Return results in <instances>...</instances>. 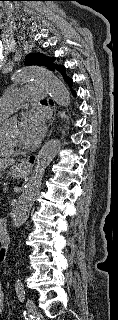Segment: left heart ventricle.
Instances as JSON below:
<instances>
[{
    "instance_id": "1",
    "label": "left heart ventricle",
    "mask_w": 118,
    "mask_h": 320,
    "mask_svg": "<svg viewBox=\"0 0 118 320\" xmlns=\"http://www.w3.org/2000/svg\"><path fill=\"white\" fill-rule=\"evenodd\" d=\"M4 134L11 139L18 140L19 131L17 125L8 128Z\"/></svg>"
}]
</instances>
